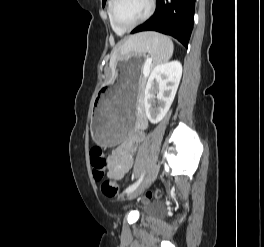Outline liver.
<instances>
[{"mask_svg": "<svg viewBox=\"0 0 264 247\" xmlns=\"http://www.w3.org/2000/svg\"><path fill=\"white\" fill-rule=\"evenodd\" d=\"M141 34H142V33H141ZM141 34H137V35H135V36L130 37V38L128 39V41H126V43L121 47V52H122V50H123L128 44H130L133 40H135L136 38H138ZM114 64H115V60H112V61H111V66H114Z\"/></svg>", "mask_w": 264, "mask_h": 247, "instance_id": "obj_1", "label": "liver"}]
</instances>
